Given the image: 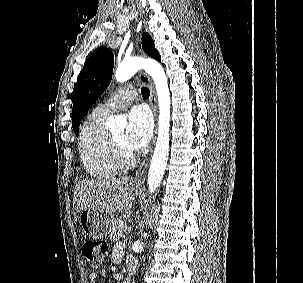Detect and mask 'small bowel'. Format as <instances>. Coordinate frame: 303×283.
I'll use <instances>...</instances> for the list:
<instances>
[{
    "instance_id": "small-bowel-1",
    "label": "small bowel",
    "mask_w": 303,
    "mask_h": 283,
    "mask_svg": "<svg viewBox=\"0 0 303 283\" xmlns=\"http://www.w3.org/2000/svg\"><path fill=\"white\" fill-rule=\"evenodd\" d=\"M123 257V246L117 245L115 249L113 250V253L111 255V259L114 262H119L122 260ZM89 279L92 283H96L98 280V275L96 273H91L89 275Z\"/></svg>"
}]
</instances>
